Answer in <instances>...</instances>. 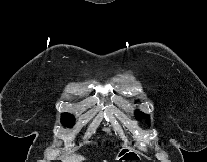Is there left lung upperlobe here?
Masks as SVG:
<instances>
[{"label":"left lung upper lobe","mask_w":207,"mask_h":162,"mask_svg":"<svg viewBox=\"0 0 207 162\" xmlns=\"http://www.w3.org/2000/svg\"><path fill=\"white\" fill-rule=\"evenodd\" d=\"M136 117H137V119H144V118H146L147 122L149 124V116L148 115H145L144 113L137 111L136 112Z\"/></svg>","instance_id":"5c2ea615"}]
</instances>
